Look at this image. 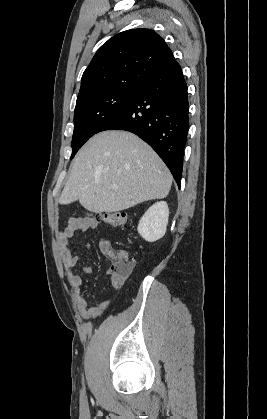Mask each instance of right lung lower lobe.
Returning a JSON list of instances; mask_svg holds the SVG:
<instances>
[{
  "instance_id": "98d812e1",
  "label": "right lung lower lobe",
  "mask_w": 267,
  "mask_h": 419,
  "mask_svg": "<svg viewBox=\"0 0 267 419\" xmlns=\"http://www.w3.org/2000/svg\"><path fill=\"white\" fill-rule=\"evenodd\" d=\"M187 84L175 61L144 81L125 107L101 131H130L162 158L180 187L189 130Z\"/></svg>"
}]
</instances>
